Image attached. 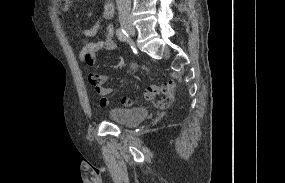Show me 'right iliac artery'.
I'll use <instances>...</instances> for the list:
<instances>
[{"instance_id":"1","label":"right iliac artery","mask_w":285,"mask_h":183,"mask_svg":"<svg viewBox=\"0 0 285 183\" xmlns=\"http://www.w3.org/2000/svg\"><path fill=\"white\" fill-rule=\"evenodd\" d=\"M116 35H117V37H118V39L120 41L125 42V41L128 40V34H127V32L123 28L117 29L116 30Z\"/></svg>"}]
</instances>
